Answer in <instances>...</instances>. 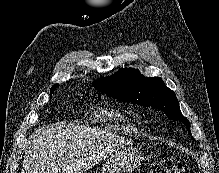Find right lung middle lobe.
Returning <instances> with one entry per match:
<instances>
[{
  "label": "right lung middle lobe",
  "mask_w": 219,
  "mask_h": 173,
  "mask_svg": "<svg viewBox=\"0 0 219 173\" xmlns=\"http://www.w3.org/2000/svg\"><path fill=\"white\" fill-rule=\"evenodd\" d=\"M57 86H53L50 90V95L52 94L53 90L56 88Z\"/></svg>",
  "instance_id": "1"
}]
</instances>
